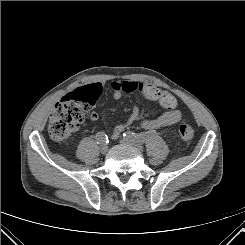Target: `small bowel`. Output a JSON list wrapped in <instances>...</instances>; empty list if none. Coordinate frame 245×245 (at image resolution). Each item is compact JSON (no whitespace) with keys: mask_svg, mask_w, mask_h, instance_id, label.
Segmentation results:
<instances>
[{"mask_svg":"<svg viewBox=\"0 0 245 245\" xmlns=\"http://www.w3.org/2000/svg\"><path fill=\"white\" fill-rule=\"evenodd\" d=\"M111 89L113 91L114 99H120L123 94L137 92L147 99L157 101L161 105L162 109L165 110V112L158 117L148 119L143 118L140 109L134 106L126 124L118 125L113 129V138H117L127 125L136 121H140V125L143 129L151 131L174 125L182 118L181 110L176 108L177 103L175 95L171 92H166L157 86L138 82L114 81L111 83ZM97 119L98 113L93 111L90 114V120L96 121Z\"/></svg>","mask_w":245,"mask_h":245,"instance_id":"obj_1","label":"small bowel"}]
</instances>
